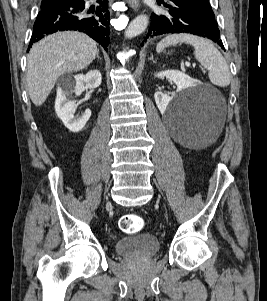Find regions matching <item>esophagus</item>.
Here are the masks:
<instances>
[{
    "label": "esophagus",
    "mask_w": 267,
    "mask_h": 301,
    "mask_svg": "<svg viewBox=\"0 0 267 301\" xmlns=\"http://www.w3.org/2000/svg\"><path fill=\"white\" fill-rule=\"evenodd\" d=\"M127 3L130 5L131 8H133L135 11L138 10L140 3L139 0H127Z\"/></svg>",
    "instance_id": "esophagus-1"
}]
</instances>
